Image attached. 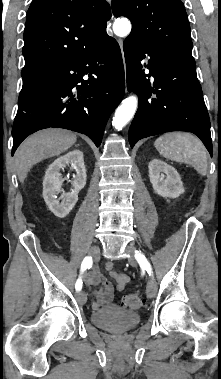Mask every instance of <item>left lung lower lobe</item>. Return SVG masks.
Returning <instances> with one entry per match:
<instances>
[{"label":"left lung lower lobe","instance_id":"obj_1","mask_svg":"<svg viewBox=\"0 0 221 379\" xmlns=\"http://www.w3.org/2000/svg\"><path fill=\"white\" fill-rule=\"evenodd\" d=\"M127 86L139 96L129 142L170 131L196 134L212 155L210 120L196 75V64L172 58L130 34L123 44ZM148 58L142 65L141 61ZM143 67L149 69L145 74ZM154 78L150 82L148 78Z\"/></svg>","mask_w":221,"mask_h":379}]
</instances>
